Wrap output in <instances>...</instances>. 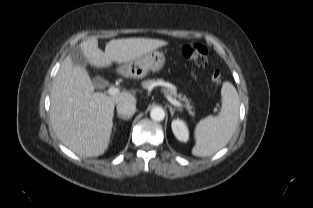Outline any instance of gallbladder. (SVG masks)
I'll list each match as a JSON object with an SVG mask.
<instances>
[{"instance_id":"obj_1","label":"gallbladder","mask_w":313,"mask_h":208,"mask_svg":"<svg viewBox=\"0 0 313 208\" xmlns=\"http://www.w3.org/2000/svg\"><path fill=\"white\" fill-rule=\"evenodd\" d=\"M69 55L71 57L72 62L81 68H85L87 65V59L79 46H74ZM93 84L96 88L101 89L106 85V80L101 76H96L93 78Z\"/></svg>"}]
</instances>
